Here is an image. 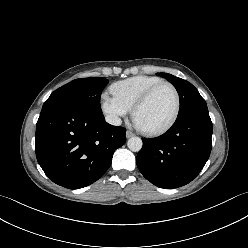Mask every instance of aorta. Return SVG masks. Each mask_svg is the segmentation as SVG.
<instances>
[{
	"instance_id": "762f6f07",
	"label": "aorta",
	"mask_w": 248,
	"mask_h": 248,
	"mask_svg": "<svg viewBox=\"0 0 248 248\" xmlns=\"http://www.w3.org/2000/svg\"><path fill=\"white\" fill-rule=\"evenodd\" d=\"M127 146L131 151L138 152L141 150V148L143 146V142H142L141 138H139V137H131L127 141Z\"/></svg>"
}]
</instances>
